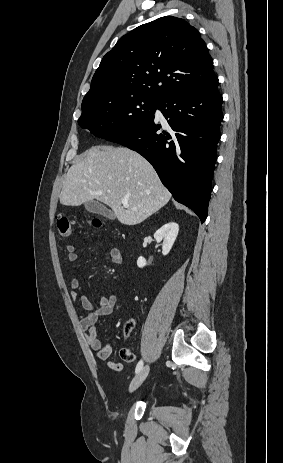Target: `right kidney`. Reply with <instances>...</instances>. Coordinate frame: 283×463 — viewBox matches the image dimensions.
<instances>
[{
	"instance_id": "right-kidney-1",
	"label": "right kidney",
	"mask_w": 283,
	"mask_h": 463,
	"mask_svg": "<svg viewBox=\"0 0 283 463\" xmlns=\"http://www.w3.org/2000/svg\"><path fill=\"white\" fill-rule=\"evenodd\" d=\"M178 232H179V226L175 222H169L155 232L154 234L155 240L157 242L163 241L162 243V254L163 255H167L170 252L176 240ZM146 264L147 262L145 258L140 256L137 260V266L139 268H143L144 266H146Z\"/></svg>"
}]
</instances>
